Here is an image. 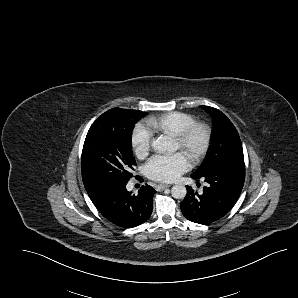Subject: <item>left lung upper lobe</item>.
<instances>
[{"instance_id": "5c2ea615", "label": "left lung upper lobe", "mask_w": 298, "mask_h": 298, "mask_svg": "<svg viewBox=\"0 0 298 298\" xmlns=\"http://www.w3.org/2000/svg\"><path fill=\"white\" fill-rule=\"evenodd\" d=\"M213 119V147L210 154L193 174H201L205 171L220 167L229 162L244 159L243 149L238 132L232 122L220 110L201 106Z\"/></svg>"}]
</instances>
